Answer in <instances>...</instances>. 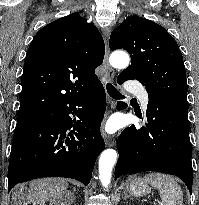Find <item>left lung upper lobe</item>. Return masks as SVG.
<instances>
[{
  "label": "left lung upper lobe",
  "mask_w": 199,
  "mask_h": 205,
  "mask_svg": "<svg viewBox=\"0 0 199 205\" xmlns=\"http://www.w3.org/2000/svg\"><path fill=\"white\" fill-rule=\"evenodd\" d=\"M111 50L125 49L131 65L118 77H133L148 96L189 108L182 53L166 29L146 18L131 16L111 33Z\"/></svg>",
  "instance_id": "left-lung-upper-lobe-1"
}]
</instances>
